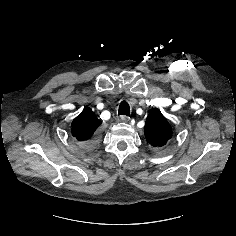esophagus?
<instances>
[{
  "label": "esophagus",
  "instance_id": "obj_1",
  "mask_svg": "<svg viewBox=\"0 0 236 236\" xmlns=\"http://www.w3.org/2000/svg\"><path fill=\"white\" fill-rule=\"evenodd\" d=\"M119 120H120L121 122L126 123V122L129 121V118H128L127 116H125V115H122V116L119 117Z\"/></svg>",
  "mask_w": 236,
  "mask_h": 236
}]
</instances>
